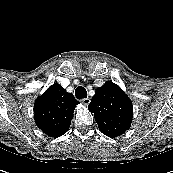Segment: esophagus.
Segmentation results:
<instances>
[{
	"mask_svg": "<svg viewBox=\"0 0 173 173\" xmlns=\"http://www.w3.org/2000/svg\"><path fill=\"white\" fill-rule=\"evenodd\" d=\"M81 103L84 105H88L90 103V98L81 99Z\"/></svg>",
	"mask_w": 173,
	"mask_h": 173,
	"instance_id": "esophagus-1",
	"label": "esophagus"
}]
</instances>
